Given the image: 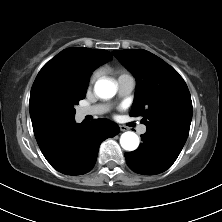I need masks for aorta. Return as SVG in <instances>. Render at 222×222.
<instances>
[{
    "instance_id": "762f6f07",
    "label": "aorta",
    "mask_w": 222,
    "mask_h": 222,
    "mask_svg": "<svg viewBox=\"0 0 222 222\" xmlns=\"http://www.w3.org/2000/svg\"><path fill=\"white\" fill-rule=\"evenodd\" d=\"M94 91L99 98H112L117 92L116 84L108 79H100L95 83ZM121 147L127 151H134L139 146V137L132 131L124 132L120 137Z\"/></svg>"
}]
</instances>
